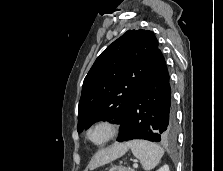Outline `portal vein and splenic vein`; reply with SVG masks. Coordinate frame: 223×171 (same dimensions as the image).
Instances as JSON below:
<instances>
[{
  "label": "portal vein and splenic vein",
  "mask_w": 223,
  "mask_h": 171,
  "mask_svg": "<svg viewBox=\"0 0 223 171\" xmlns=\"http://www.w3.org/2000/svg\"><path fill=\"white\" fill-rule=\"evenodd\" d=\"M133 167H134V168H137V167H138V164H137V163H134V164H133Z\"/></svg>",
  "instance_id": "18ae733b"
}]
</instances>
